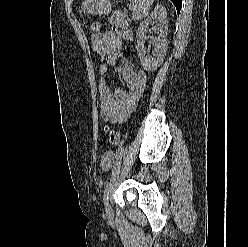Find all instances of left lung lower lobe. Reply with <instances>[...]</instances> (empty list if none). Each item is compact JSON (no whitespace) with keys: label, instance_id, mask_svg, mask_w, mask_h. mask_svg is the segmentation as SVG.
Returning a JSON list of instances; mask_svg holds the SVG:
<instances>
[{"label":"left lung lower lobe","instance_id":"1","mask_svg":"<svg viewBox=\"0 0 248 247\" xmlns=\"http://www.w3.org/2000/svg\"><path fill=\"white\" fill-rule=\"evenodd\" d=\"M174 5L176 6L177 12H180L181 6H182V0H171Z\"/></svg>","mask_w":248,"mask_h":247}]
</instances>
